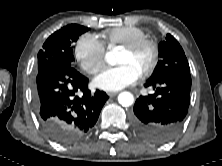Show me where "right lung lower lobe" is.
<instances>
[{
  "label": "right lung lower lobe",
  "mask_w": 222,
  "mask_h": 166,
  "mask_svg": "<svg viewBox=\"0 0 222 166\" xmlns=\"http://www.w3.org/2000/svg\"><path fill=\"white\" fill-rule=\"evenodd\" d=\"M87 85L88 79L73 66L51 65L38 71L34 107L52 140L73 143L95 125L108 96L99 90L91 94Z\"/></svg>",
  "instance_id": "right-lung-lower-lobe-1"
}]
</instances>
